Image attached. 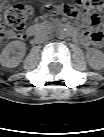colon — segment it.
<instances>
[{
    "mask_svg": "<svg viewBox=\"0 0 104 137\" xmlns=\"http://www.w3.org/2000/svg\"><path fill=\"white\" fill-rule=\"evenodd\" d=\"M103 7L104 0H73L72 4H67L63 10L86 16L94 27L92 39L98 43L103 39V33L99 29L101 23L99 12ZM32 13L31 7L26 4L7 3L2 10L3 36L11 38L19 34L30 22Z\"/></svg>",
    "mask_w": 104,
    "mask_h": 137,
    "instance_id": "1",
    "label": "colon"
}]
</instances>
